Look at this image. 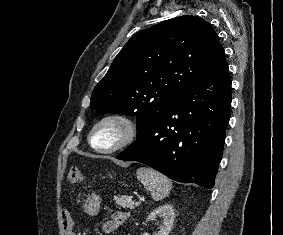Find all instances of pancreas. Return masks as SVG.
I'll return each mask as SVG.
<instances>
[{"label": "pancreas", "mask_w": 283, "mask_h": 235, "mask_svg": "<svg viewBox=\"0 0 283 235\" xmlns=\"http://www.w3.org/2000/svg\"><path fill=\"white\" fill-rule=\"evenodd\" d=\"M114 201L118 206H121L123 208L134 209L135 207H137L136 202L131 201L128 196H114Z\"/></svg>", "instance_id": "cf45deb5"}]
</instances>
